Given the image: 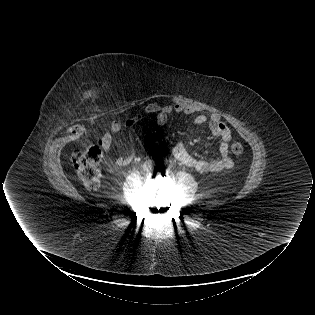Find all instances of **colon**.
I'll return each instance as SVG.
<instances>
[{
  "instance_id": "5ec220e1",
  "label": "colon",
  "mask_w": 315,
  "mask_h": 315,
  "mask_svg": "<svg viewBox=\"0 0 315 315\" xmlns=\"http://www.w3.org/2000/svg\"><path fill=\"white\" fill-rule=\"evenodd\" d=\"M103 151L102 139H100L95 144L76 149L73 152L76 172L88 189L94 190L100 184ZM231 151L235 156L239 157L243 154L244 149L241 143L234 141L231 144Z\"/></svg>"
}]
</instances>
